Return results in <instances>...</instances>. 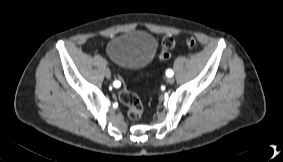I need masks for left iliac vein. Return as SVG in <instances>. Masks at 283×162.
<instances>
[{
	"mask_svg": "<svg viewBox=\"0 0 283 162\" xmlns=\"http://www.w3.org/2000/svg\"><path fill=\"white\" fill-rule=\"evenodd\" d=\"M166 82L169 83V84H172V83H174V78L167 77Z\"/></svg>",
	"mask_w": 283,
	"mask_h": 162,
	"instance_id": "obj_1",
	"label": "left iliac vein"
}]
</instances>
